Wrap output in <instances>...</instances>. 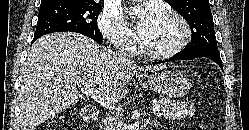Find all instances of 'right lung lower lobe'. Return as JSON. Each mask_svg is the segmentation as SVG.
I'll return each mask as SVG.
<instances>
[{
  "instance_id": "98d812e1",
  "label": "right lung lower lobe",
  "mask_w": 249,
  "mask_h": 130,
  "mask_svg": "<svg viewBox=\"0 0 249 130\" xmlns=\"http://www.w3.org/2000/svg\"><path fill=\"white\" fill-rule=\"evenodd\" d=\"M78 33H81V34H83V35H86L87 37H90L89 35L84 34V33H82V32H78ZM38 38H39V37H34L32 43H33L34 41H36ZM90 38H92V39L95 40V41H98V40L94 39L93 37H90ZM98 42H101V41H98Z\"/></svg>"
}]
</instances>
